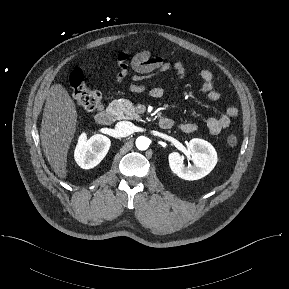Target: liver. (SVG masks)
<instances>
[{
  "mask_svg": "<svg viewBox=\"0 0 289 289\" xmlns=\"http://www.w3.org/2000/svg\"><path fill=\"white\" fill-rule=\"evenodd\" d=\"M77 109L61 84L48 91L40 129L44 155L58 177H67V154L77 127Z\"/></svg>",
  "mask_w": 289,
  "mask_h": 289,
  "instance_id": "obj_1",
  "label": "liver"
}]
</instances>
